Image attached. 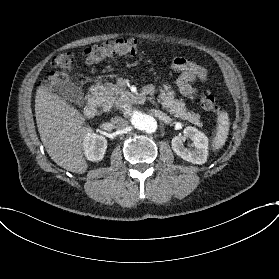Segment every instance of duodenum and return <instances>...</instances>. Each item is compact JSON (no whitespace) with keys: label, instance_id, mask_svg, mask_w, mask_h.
Instances as JSON below:
<instances>
[{"label":"duodenum","instance_id":"duodenum-1","mask_svg":"<svg viewBox=\"0 0 279 279\" xmlns=\"http://www.w3.org/2000/svg\"><path fill=\"white\" fill-rule=\"evenodd\" d=\"M121 99L124 102L137 104L141 103L145 99V93H132L129 91H125L121 95ZM84 114L85 116L91 118L97 114V102L94 99H89L84 107Z\"/></svg>","mask_w":279,"mask_h":279}]
</instances>
